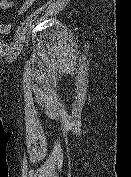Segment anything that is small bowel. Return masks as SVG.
I'll return each instance as SVG.
<instances>
[{"instance_id": "small-bowel-1", "label": "small bowel", "mask_w": 131, "mask_h": 177, "mask_svg": "<svg viewBox=\"0 0 131 177\" xmlns=\"http://www.w3.org/2000/svg\"><path fill=\"white\" fill-rule=\"evenodd\" d=\"M37 0H0V8H17V14L25 13ZM10 24H0V33L6 34L10 31Z\"/></svg>"}]
</instances>
